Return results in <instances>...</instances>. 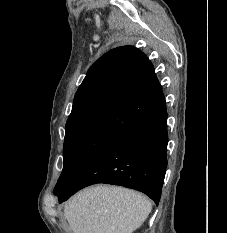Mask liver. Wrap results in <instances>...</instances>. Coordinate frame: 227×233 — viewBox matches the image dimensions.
Instances as JSON below:
<instances>
[{
  "label": "liver",
  "mask_w": 227,
  "mask_h": 233,
  "mask_svg": "<svg viewBox=\"0 0 227 233\" xmlns=\"http://www.w3.org/2000/svg\"><path fill=\"white\" fill-rule=\"evenodd\" d=\"M152 209L146 196L114 186L86 188L64 206L73 233H133Z\"/></svg>",
  "instance_id": "6515ba94"
}]
</instances>
